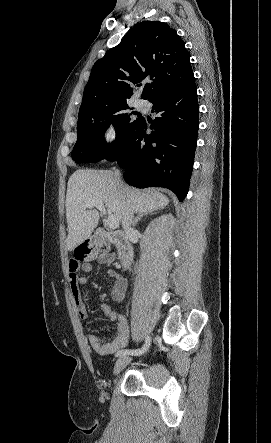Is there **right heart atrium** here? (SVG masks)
Wrapping results in <instances>:
<instances>
[{
    "instance_id": "d8ad5b80",
    "label": "right heart atrium",
    "mask_w": 271,
    "mask_h": 443,
    "mask_svg": "<svg viewBox=\"0 0 271 443\" xmlns=\"http://www.w3.org/2000/svg\"><path fill=\"white\" fill-rule=\"evenodd\" d=\"M120 127L114 121L108 122L100 135V143L104 149L112 148L120 138Z\"/></svg>"
}]
</instances>
